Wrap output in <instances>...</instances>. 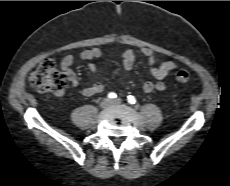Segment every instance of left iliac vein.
I'll return each mask as SVG.
<instances>
[{"label": "left iliac vein", "mask_w": 230, "mask_h": 186, "mask_svg": "<svg viewBox=\"0 0 230 186\" xmlns=\"http://www.w3.org/2000/svg\"><path fill=\"white\" fill-rule=\"evenodd\" d=\"M121 103L122 100L120 98H116L111 102L112 105H120Z\"/></svg>", "instance_id": "left-iliac-vein-1"}]
</instances>
